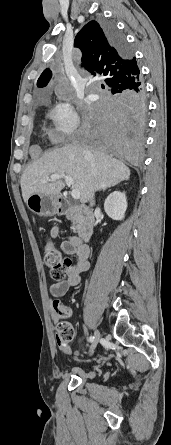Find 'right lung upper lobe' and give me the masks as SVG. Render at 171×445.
Listing matches in <instances>:
<instances>
[{"mask_svg": "<svg viewBox=\"0 0 171 445\" xmlns=\"http://www.w3.org/2000/svg\"><path fill=\"white\" fill-rule=\"evenodd\" d=\"M74 47L82 51V65L93 75H103L111 91L128 88L141 81L136 59L131 52L123 56L111 45L101 23H87L76 35ZM51 75L49 69L44 70L37 86H46Z\"/></svg>", "mask_w": 171, "mask_h": 445, "instance_id": "right-lung-upper-lobe-1", "label": "right lung upper lobe"}]
</instances>
